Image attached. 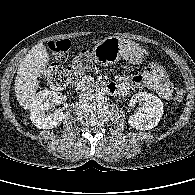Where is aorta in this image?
<instances>
[{
    "mask_svg": "<svg viewBox=\"0 0 195 195\" xmlns=\"http://www.w3.org/2000/svg\"><path fill=\"white\" fill-rule=\"evenodd\" d=\"M105 92H106L105 89H97L96 93H95L96 98H98V99L104 98V96L106 94Z\"/></svg>",
    "mask_w": 195,
    "mask_h": 195,
    "instance_id": "762f6f07",
    "label": "aorta"
}]
</instances>
